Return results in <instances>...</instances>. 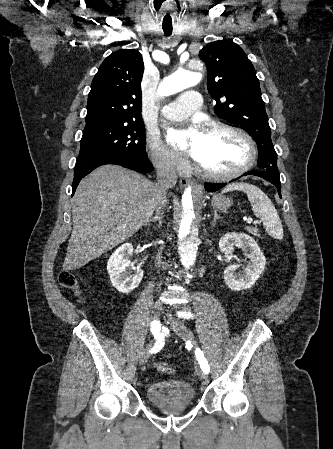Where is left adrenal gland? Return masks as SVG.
<instances>
[{
    "label": "left adrenal gland",
    "mask_w": 333,
    "mask_h": 449,
    "mask_svg": "<svg viewBox=\"0 0 333 449\" xmlns=\"http://www.w3.org/2000/svg\"><path fill=\"white\" fill-rule=\"evenodd\" d=\"M220 219H222V217L219 216V215L217 214V212L215 211V213H214V219H213V222H212V226H215L217 220H220Z\"/></svg>",
    "instance_id": "1"
}]
</instances>
